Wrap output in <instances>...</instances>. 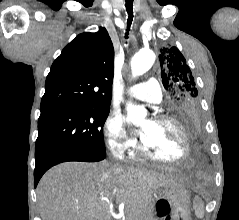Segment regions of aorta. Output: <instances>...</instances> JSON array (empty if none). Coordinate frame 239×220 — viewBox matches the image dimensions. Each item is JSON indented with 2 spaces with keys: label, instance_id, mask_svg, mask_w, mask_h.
<instances>
[{
  "label": "aorta",
  "instance_id": "obj_1",
  "mask_svg": "<svg viewBox=\"0 0 239 220\" xmlns=\"http://www.w3.org/2000/svg\"><path fill=\"white\" fill-rule=\"evenodd\" d=\"M155 61V54L152 50H141L136 53L131 60V70L133 77L144 74L148 71ZM146 109L142 106L127 104L128 119L135 123L137 120L145 117Z\"/></svg>",
  "mask_w": 239,
  "mask_h": 220
}]
</instances>
